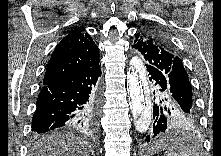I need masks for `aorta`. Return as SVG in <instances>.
Here are the masks:
<instances>
[{"label":"aorta","instance_id":"obj_1","mask_svg":"<svg viewBox=\"0 0 221 156\" xmlns=\"http://www.w3.org/2000/svg\"><path fill=\"white\" fill-rule=\"evenodd\" d=\"M127 90L129 104L137 129L144 133L151 122V106L146 80V71L138 57L131 60L127 71Z\"/></svg>","mask_w":221,"mask_h":156}]
</instances>
